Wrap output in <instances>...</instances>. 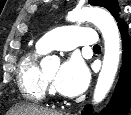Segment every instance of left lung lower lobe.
Masks as SVG:
<instances>
[{
  "label": "left lung lower lobe",
  "instance_id": "1",
  "mask_svg": "<svg viewBox=\"0 0 131 115\" xmlns=\"http://www.w3.org/2000/svg\"><path fill=\"white\" fill-rule=\"evenodd\" d=\"M123 43V61L120 77L115 87L110 103L99 115H129L131 92V37L127 33V24L121 20L118 23ZM82 115H93L91 108L86 106Z\"/></svg>",
  "mask_w": 131,
  "mask_h": 115
}]
</instances>
